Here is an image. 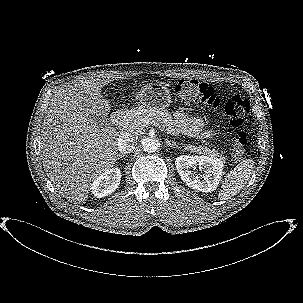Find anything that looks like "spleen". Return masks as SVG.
<instances>
[{"label":"spleen","instance_id":"3e777b00","mask_svg":"<svg viewBox=\"0 0 303 303\" xmlns=\"http://www.w3.org/2000/svg\"><path fill=\"white\" fill-rule=\"evenodd\" d=\"M254 168L253 159L242 160L223 180L218 198L227 200L235 196L249 181Z\"/></svg>","mask_w":303,"mask_h":303}]
</instances>
